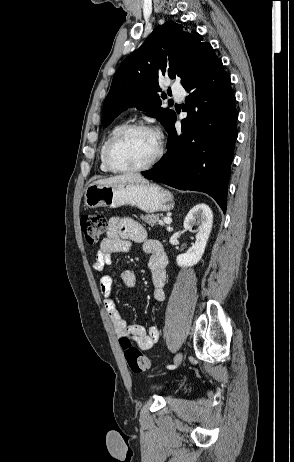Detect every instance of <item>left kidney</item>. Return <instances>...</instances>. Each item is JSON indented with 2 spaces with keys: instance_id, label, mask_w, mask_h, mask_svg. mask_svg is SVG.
<instances>
[{
  "instance_id": "left-kidney-1",
  "label": "left kidney",
  "mask_w": 294,
  "mask_h": 462,
  "mask_svg": "<svg viewBox=\"0 0 294 462\" xmlns=\"http://www.w3.org/2000/svg\"><path fill=\"white\" fill-rule=\"evenodd\" d=\"M213 224L212 210L206 204H197L187 214L184 220L185 230L192 231V227L198 225L195 244L185 254L177 256V265L190 267L196 265L204 254L205 247Z\"/></svg>"
}]
</instances>
